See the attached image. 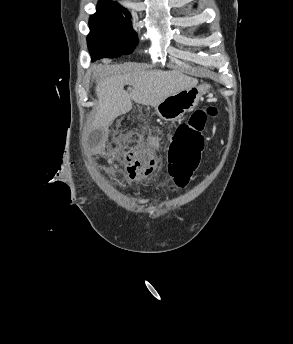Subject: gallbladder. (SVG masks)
<instances>
[{
  "label": "gallbladder",
  "instance_id": "bac80fb5",
  "mask_svg": "<svg viewBox=\"0 0 293 344\" xmlns=\"http://www.w3.org/2000/svg\"><path fill=\"white\" fill-rule=\"evenodd\" d=\"M104 138L105 132L102 129L92 131L88 139L90 147H96Z\"/></svg>",
  "mask_w": 293,
  "mask_h": 344
}]
</instances>
